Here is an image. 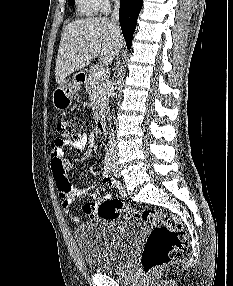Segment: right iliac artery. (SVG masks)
<instances>
[{
  "mask_svg": "<svg viewBox=\"0 0 233 286\" xmlns=\"http://www.w3.org/2000/svg\"><path fill=\"white\" fill-rule=\"evenodd\" d=\"M111 168H112L111 154L107 152L105 159H104V169L107 173H110Z\"/></svg>",
  "mask_w": 233,
  "mask_h": 286,
  "instance_id": "1",
  "label": "right iliac artery"
}]
</instances>
